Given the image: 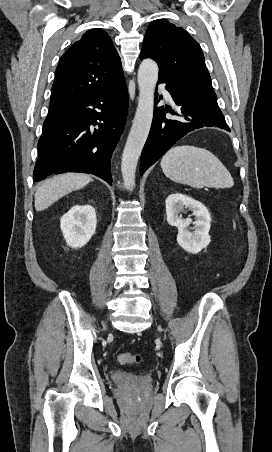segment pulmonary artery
Instances as JSON below:
<instances>
[{
    "label": "pulmonary artery",
    "mask_w": 272,
    "mask_h": 452,
    "mask_svg": "<svg viewBox=\"0 0 272 452\" xmlns=\"http://www.w3.org/2000/svg\"><path fill=\"white\" fill-rule=\"evenodd\" d=\"M158 89H159L160 91H163L164 94H165V96H166L168 99H170V94H169L168 91H166V90L163 89V85L160 84V85L158 86Z\"/></svg>",
    "instance_id": "1"
}]
</instances>
